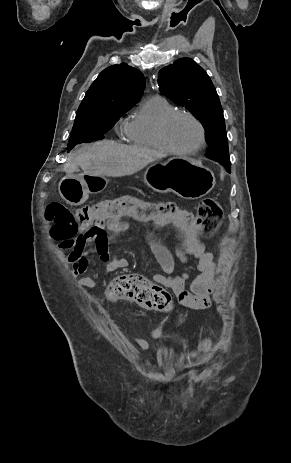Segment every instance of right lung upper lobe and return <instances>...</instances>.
Instances as JSON below:
<instances>
[{"instance_id":"obj_1","label":"right lung upper lobe","mask_w":291,"mask_h":463,"mask_svg":"<svg viewBox=\"0 0 291 463\" xmlns=\"http://www.w3.org/2000/svg\"><path fill=\"white\" fill-rule=\"evenodd\" d=\"M145 78L125 63L104 69L92 83L77 111L109 103L135 105L143 95Z\"/></svg>"}]
</instances>
